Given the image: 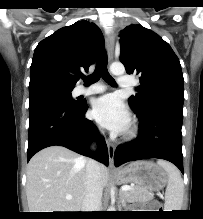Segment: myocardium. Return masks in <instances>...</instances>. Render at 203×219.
<instances>
[{"label": "myocardium", "instance_id": "1", "mask_svg": "<svg viewBox=\"0 0 203 219\" xmlns=\"http://www.w3.org/2000/svg\"><path fill=\"white\" fill-rule=\"evenodd\" d=\"M138 133L137 127L136 126H131L125 133L124 135V139L125 140H133L134 138H136Z\"/></svg>", "mask_w": 203, "mask_h": 219}]
</instances>
